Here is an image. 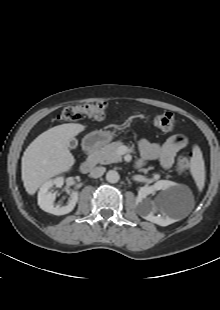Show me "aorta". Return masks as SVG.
I'll use <instances>...</instances> for the list:
<instances>
[{"label":"aorta","mask_w":220,"mask_h":310,"mask_svg":"<svg viewBox=\"0 0 220 310\" xmlns=\"http://www.w3.org/2000/svg\"><path fill=\"white\" fill-rule=\"evenodd\" d=\"M120 179V176L118 174L117 171L115 170H109L106 174V180L109 182V183H117Z\"/></svg>","instance_id":"aorta-1"}]
</instances>
